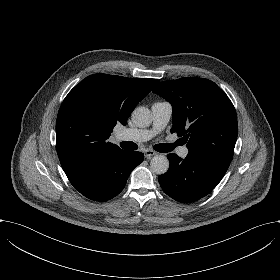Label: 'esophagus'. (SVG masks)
I'll return each instance as SVG.
<instances>
[{"mask_svg":"<svg viewBox=\"0 0 280 280\" xmlns=\"http://www.w3.org/2000/svg\"><path fill=\"white\" fill-rule=\"evenodd\" d=\"M156 154L157 153L154 150H152V149L144 150V155H145L146 158H149V157L154 156Z\"/></svg>","mask_w":280,"mask_h":280,"instance_id":"1","label":"esophagus"}]
</instances>
